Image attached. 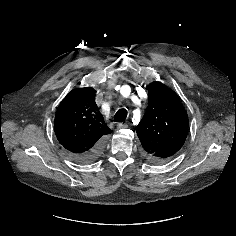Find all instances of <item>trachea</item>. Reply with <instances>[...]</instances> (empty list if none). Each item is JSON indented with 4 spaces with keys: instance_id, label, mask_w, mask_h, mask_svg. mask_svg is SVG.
<instances>
[{
    "instance_id": "1",
    "label": "trachea",
    "mask_w": 236,
    "mask_h": 236,
    "mask_svg": "<svg viewBox=\"0 0 236 236\" xmlns=\"http://www.w3.org/2000/svg\"><path fill=\"white\" fill-rule=\"evenodd\" d=\"M127 117V110L126 109H119L114 117L115 122H123Z\"/></svg>"
}]
</instances>
